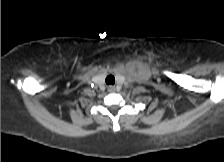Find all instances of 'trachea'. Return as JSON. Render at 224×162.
<instances>
[{"label": "trachea", "mask_w": 224, "mask_h": 162, "mask_svg": "<svg viewBox=\"0 0 224 162\" xmlns=\"http://www.w3.org/2000/svg\"><path fill=\"white\" fill-rule=\"evenodd\" d=\"M107 85H114L115 84V77L113 75H108L105 79Z\"/></svg>", "instance_id": "1"}]
</instances>
